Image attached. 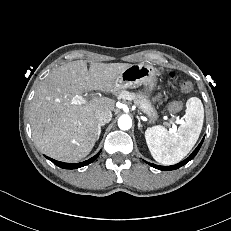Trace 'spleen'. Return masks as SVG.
<instances>
[{
	"instance_id": "spleen-1",
	"label": "spleen",
	"mask_w": 231,
	"mask_h": 231,
	"mask_svg": "<svg viewBox=\"0 0 231 231\" xmlns=\"http://www.w3.org/2000/svg\"><path fill=\"white\" fill-rule=\"evenodd\" d=\"M204 108L201 100L191 97L186 102L184 121L175 131L154 126L145 131L152 157L163 165L180 162L193 148L202 130Z\"/></svg>"
}]
</instances>
